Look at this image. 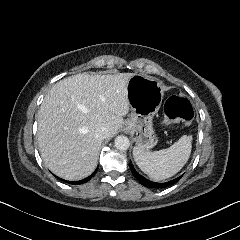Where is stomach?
<instances>
[{
    "label": "stomach",
    "instance_id": "obj_1",
    "mask_svg": "<svg viewBox=\"0 0 240 240\" xmlns=\"http://www.w3.org/2000/svg\"><path fill=\"white\" fill-rule=\"evenodd\" d=\"M126 88L131 113L125 121L124 130L135 134L137 148L149 151L158 143L153 118L163 101V83L155 77L134 74L128 80Z\"/></svg>",
    "mask_w": 240,
    "mask_h": 240
}]
</instances>
